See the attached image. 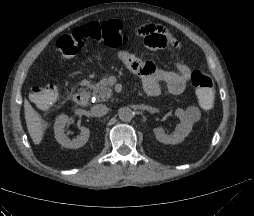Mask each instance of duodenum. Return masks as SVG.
<instances>
[{"mask_svg": "<svg viewBox=\"0 0 254 216\" xmlns=\"http://www.w3.org/2000/svg\"><path fill=\"white\" fill-rule=\"evenodd\" d=\"M75 102L80 106H85L88 104L89 95L85 91H79L74 96Z\"/></svg>", "mask_w": 254, "mask_h": 216, "instance_id": "obj_1", "label": "duodenum"}]
</instances>
